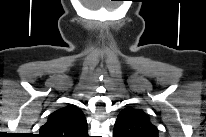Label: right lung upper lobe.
<instances>
[{"mask_svg":"<svg viewBox=\"0 0 206 137\" xmlns=\"http://www.w3.org/2000/svg\"><path fill=\"white\" fill-rule=\"evenodd\" d=\"M87 121L80 108L68 105L51 113L40 128L42 137H86Z\"/></svg>","mask_w":206,"mask_h":137,"instance_id":"cb5924a9","label":"right lung upper lobe"}]
</instances>
